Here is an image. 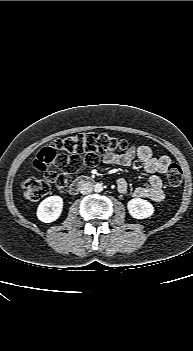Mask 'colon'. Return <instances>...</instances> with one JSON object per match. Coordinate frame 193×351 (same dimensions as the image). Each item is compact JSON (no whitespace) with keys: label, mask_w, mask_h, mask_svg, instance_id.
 <instances>
[{"label":"colon","mask_w":193,"mask_h":351,"mask_svg":"<svg viewBox=\"0 0 193 351\" xmlns=\"http://www.w3.org/2000/svg\"><path fill=\"white\" fill-rule=\"evenodd\" d=\"M130 149V144L106 133H84L60 138L51 145L43 147L33 162L34 168L45 172L43 179H27L22 183L24 197L29 201H38L45 197L51 184L57 189L67 188L71 174L83 167H94L101 157L116 151ZM54 165L60 172L47 171ZM167 182L171 187H178L183 179L180 166L172 163L167 168Z\"/></svg>","instance_id":"1"}]
</instances>
